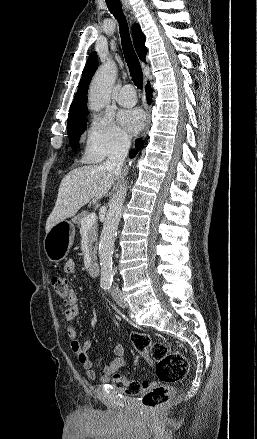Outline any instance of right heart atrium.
Wrapping results in <instances>:
<instances>
[{
    "mask_svg": "<svg viewBox=\"0 0 257 439\" xmlns=\"http://www.w3.org/2000/svg\"><path fill=\"white\" fill-rule=\"evenodd\" d=\"M83 143V159L98 163L124 151L128 138L113 118L95 115L85 129Z\"/></svg>",
    "mask_w": 257,
    "mask_h": 439,
    "instance_id": "1",
    "label": "right heart atrium"
}]
</instances>
